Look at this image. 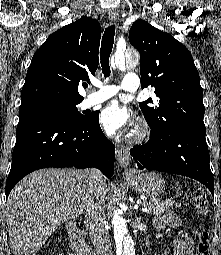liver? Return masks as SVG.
Listing matches in <instances>:
<instances>
[{"label":"liver","instance_id":"1","mask_svg":"<svg viewBox=\"0 0 221 255\" xmlns=\"http://www.w3.org/2000/svg\"><path fill=\"white\" fill-rule=\"evenodd\" d=\"M93 184L90 169L50 168L24 177L6 203L13 255H36L61 224L83 214ZM99 186L105 191L103 180Z\"/></svg>","mask_w":221,"mask_h":255}]
</instances>
